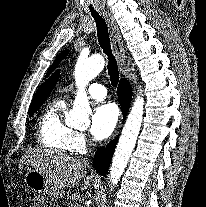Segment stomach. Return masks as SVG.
I'll return each instance as SVG.
<instances>
[{
  "label": "stomach",
  "mask_w": 206,
  "mask_h": 207,
  "mask_svg": "<svg viewBox=\"0 0 206 207\" xmlns=\"http://www.w3.org/2000/svg\"><path fill=\"white\" fill-rule=\"evenodd\" d=\"M24 182L31 190L49 197L55 198L62 195L61 190L56 189L48 178L35 169H27Z\"/></svg>",
  "instance_id": "obj_1"
}]
</instances>
